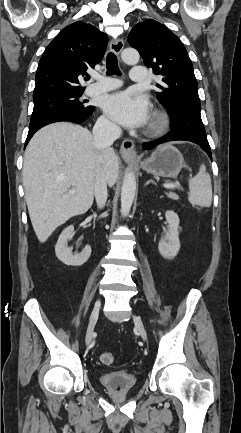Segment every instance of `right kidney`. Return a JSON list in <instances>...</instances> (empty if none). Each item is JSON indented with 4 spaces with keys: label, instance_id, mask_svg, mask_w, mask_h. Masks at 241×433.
<instances>
[{
    "label": "right kidney",
    "instance_id": "right-kidney-1",
    "mask_svg": "<svg viewBox=\"0 0 241 433\" xmlns=\"http://www.w3.org/2000/svg\"><path fill=\"white\" fill-rule=\"evenodd\" d=\"M74 232V227L68 226L60 234L57 244L55 246V253L57 258L68 266H81L84 264L91 255V247L85 246L82 252L73 254L71 249L68 248V240Z\"/></svg>",
    "mask_w": 241,
    "mask_h": 433
}]
</instances>
